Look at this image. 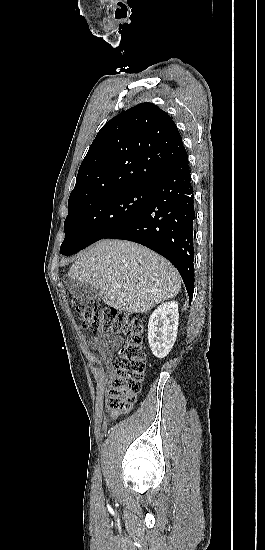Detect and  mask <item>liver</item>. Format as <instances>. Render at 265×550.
Returning a JSON list of instances; mask_svg holds the SVG:
<instances>
[{
  "label": "liver",
  "mask_w": 265,
  "mask_h": 550,
  "mask_svg": "<svg viewBox=\"0 0 265 550\" xmlns=\"http://www.w3.org/2000/svg\"><path fill=\"white\" fill-rule=\"evenodd\" d=\"M68 278L91 284L106 305L128 313L147 312L181 289V277L167 259L124 240H100L81 251Z\"/></svg>",
  "instance_id": "6515ba94"
}]
</instances>
